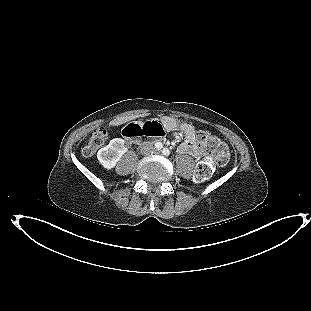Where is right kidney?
<instances>
[{
  "label": "right kidney",
  "mask_w": 311,
  "mask_h": 311,
  "mask_svg": "<svg viewBox=\"0 0 311 311\" xmlns=\"http://www.w3.org/2000/svg\"><path fill=\"white\" fill-rule=\"evenodd\" d=\"M128 146L124 139L114 138L109 145L97 152L99 163L107 170L114 168L122 155L126 153Z\"/></svg>",
  "instance_id": "obj_1"
}]
</instances>
